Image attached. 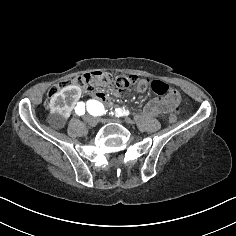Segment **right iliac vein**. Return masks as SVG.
Wrapping results in <instances>:
<instances>
[{
  "mask_svg": "<svg viewBox=\"0 0 236 236\" xmlns=\"http://www.w3.org/2000/svg\"><path fill=\"white\" fill-rule=\"evenodd\" d=\"M86 124H87L88 126H93V125L95 124V119H94L93 117H88V118L86 119Z\"/></svg>",
  "mask_w": 236,
  "mask_h": 236,
  "instance_id": "63e3f726",
  "label": "right iliac vein"
}]
</instances>
